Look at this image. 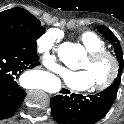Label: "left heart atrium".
Here are the masks:
<instances>
[{"label": "left heart atrium", "instance_id": "39dd6f15", "mask_svg": "<svg viewBox=\"0 0 124 124\" xmlns=\"http://www.w3.org/2000/svg\"><path fill=\"white\" fill-rule=\"evenodd\" d=\"M61 77L64 83L74 90L83 91L93 86L91 75L87 70H62Z\"/></svg>", "mask_w": 124, "mask_h": 124}]
</instances>
